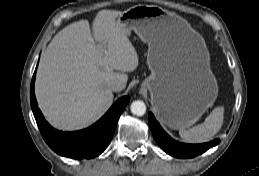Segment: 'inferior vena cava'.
<instances>
[{
    "label": "inferior vena cava",
    "instance_id": "inferior-vena-cava-1",
    "mask_svg": "<svg viewBox=\"0 0 259 176\" xmlns=\"http://www.w3.org/2000/svg\"><path fill=\"white\" fill-rule=\"evenodd\" d=\"M112 91H121L124 89V84L120 81L112 82L110 85Z\"/></svg>",
    "mask_w": 259,
    "mask_h": 176
}]
</instances>
